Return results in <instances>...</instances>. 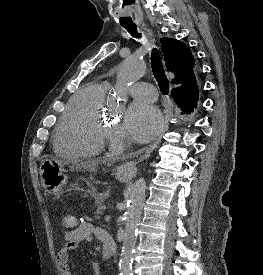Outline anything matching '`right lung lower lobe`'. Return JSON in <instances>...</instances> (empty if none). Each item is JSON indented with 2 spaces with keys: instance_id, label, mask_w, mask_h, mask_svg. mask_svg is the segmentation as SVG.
Instances as JSON below:
<instances>
[{
  "instance_id": "obj_1",
  "label": "right lung lower lobe",
  "mask_w": 263,
  "mask_h": 275,
  "mask_svg": "<svg viewBox=\"0 0 263 275\" xmlns=\"http://www.w3.org/2000/svg\"><path fill=\"white\" fill-rule=\"evenodd\" d=\"M196 75H197L196 70L195 71L193 70L190 75V80L196 81ZM172 97L174 98V101L177 103L178 107L182 108V110H184L185 113H190V112H187L183 107V103L185 102L187 97L185 88L183 87L174 88L172 90Z\"/></svg>"
}]
</instances>
